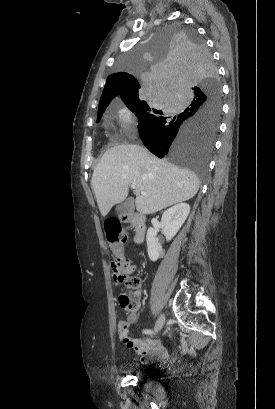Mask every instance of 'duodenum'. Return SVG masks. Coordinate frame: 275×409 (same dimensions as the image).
Here are the masks:
<instances>
[{"label":"duodenum","mask_w":275,"mask_h":409,"mask_svg":"<svg viewBox=\"0 0 275 409\" xmlns=\"http://www.w3.org/2000/svg\"><path fill=\"white\" fill-rule=\"evenodd\" d=\"M121 218L133 226L135 241L141 243L146 232L145 216L141 213H131L123 215Z\"/></svg>","instance_id":"1"}]
</instances>
